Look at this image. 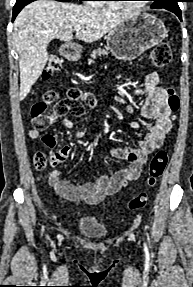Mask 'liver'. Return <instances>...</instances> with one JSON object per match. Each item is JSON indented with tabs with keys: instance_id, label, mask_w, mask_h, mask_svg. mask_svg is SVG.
Returning <instances> with one entry per match:
<instances>
[{
	"instance_id": "obj_1",
	"label": "liver",
	"mask_w": 193,
	"mask_h": 287,
	"mask_svg": "<svg viewBox=\"0 0 193 287\" xmlns=\"http://www.w3.org/2000/svg\"><path fill=\"white\" fill-rule=\"evenodd\" d=\"M133 14L89 6L38 0L27 5L14 21L13 40L19 54V100L29 94L47 61V46L53 39L69 42L72 30L86 43L101 39Z\"/></svg>"
}]
</instances>
